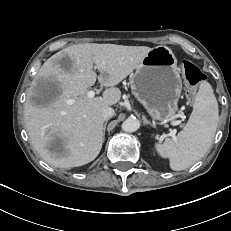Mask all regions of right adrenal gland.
<instances>
[{"label": "right adrenal gland", "instance_id": "1", "mask_svg": "<svg viewBox=\"0 0 231 231\" xmlns=\"http://www.w3.org/2000/svg\"><path fill=\"white\" fill-rule=\"evenodd\" d=\"M107 123H108V121L106 120L104 125H103V141H104V135H105V129H106Z\"/></svg>", "mask_w": 231, "mask_h": 231}]
</instances>
